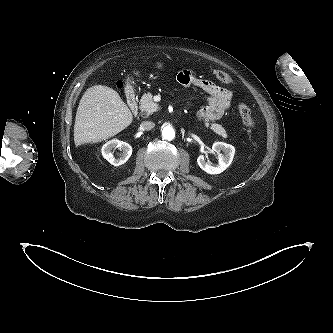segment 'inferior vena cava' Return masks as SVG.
<instances>
[{"instance_id": "inferior-vena-cava-1", "label": "inferior vena cava", "mask_w": 333, "mask_h": 333, "mask_svg": "<svg viewBox=\"0 0 333 333\" xmlns=\"http://www.w3.org/2000/svg\"><path fill=\"white\" fill-rule=\"evenodd\" d=\"M140 126L143 130H151L155 127V124L151 121H143Z\"/></svg>"}]
</instances>
